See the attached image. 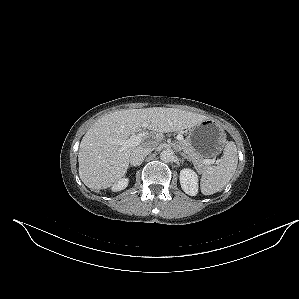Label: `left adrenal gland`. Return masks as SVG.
I'll return each mask as SVG.
<instances>
[{"label":"left adrenal gland","instance_id":"obj_1","mask_svg":"<svg viewBox=\"0 0 299 299\" xmlns=\"http://www.w3.org/2000/svg\"><path fill=\"white\" fill-rule=\"evenodd\" d=\"M181 156H182L184 159H188L187 156H186L184 153H181Z\"/></svg>","mask_w":299,"mask_h":299}]
</instances>
